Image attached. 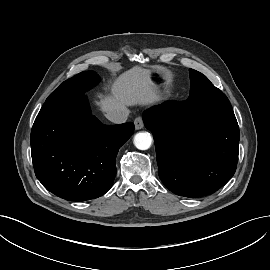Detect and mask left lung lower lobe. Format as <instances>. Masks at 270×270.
<instances>
[{"mask_svg": "<svg viewBox=\"0 0 270 270\" xmlns=\"http://www.w3.org/2000/svg\"><path fill=\"white\" fill-rule=\"evenodd\" d=\"M154 136L158 173L173 193L198 198L216 192L236 171L239 127L233 109L201 108L196 92L143 114Z\"/></svg>", "mask_w": 270, "mask_h": 270, "instance_id": "0a47b994", "label": "left lung lower lobe"}]
</instances>
